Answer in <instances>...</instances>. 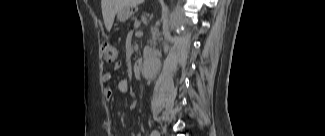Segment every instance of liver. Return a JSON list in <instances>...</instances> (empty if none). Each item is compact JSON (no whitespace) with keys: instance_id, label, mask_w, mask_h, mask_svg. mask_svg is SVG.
<instances>
[{"instance_id":"1","label":"liver","mask_w":325,"mask_h":136,"mask_svg":"<svg viewBox=\"0 0 325 136\" xmlns=\"http://www.w3.org/2000/svg\"><path fill=\"white\" fill-rule=\"evenodd\" d=\"M143 0H101L102 15L107 31H110L115 15L128 6L142 3Z\"/></svg>"}]
</instances>
